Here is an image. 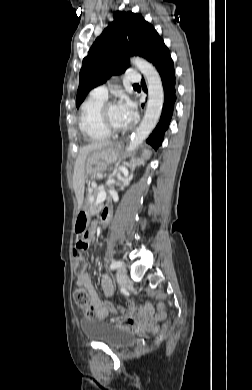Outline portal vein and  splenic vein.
I'll list each match as a JSON object with an SVG mask.
<instances>
[{
	"label": "portal vein and splenic vein",
	"instance_id": "18ae733b",
	"mask_svg": "<svg viewBox=\"0 0 252 390\" xmlns=\"http://www.w3.org/2000/svg\"><path fill=\"white\" fill-rule=\"evenodd\" d=\"M120 169L123 171V173H126V169L125 168H120ZM110 182H112V181H110ZM103 189H104L103 186L99 187L100 192H99L96 204L101 203L105 199V197H106V193H105V191Z\"/></svg>",
	"mask_w": 252,
	"mask_h": 390
}]
</instances>
